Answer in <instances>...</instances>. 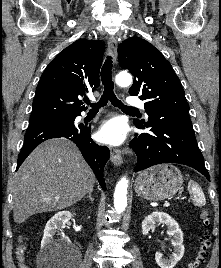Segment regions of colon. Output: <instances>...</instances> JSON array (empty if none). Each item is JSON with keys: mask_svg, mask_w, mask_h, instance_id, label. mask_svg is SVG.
<instances>
[{"mask_svg": "<svg viewBox=\"0 0 221 268\" xmlns=\"http://www.w3.org/2000/svg\"><path fill=\"white\" fill-rule=\"evenodd\" d=\"M201 221H202V225L205 228L209 227L210 214L207 210H204L201 213ZM210 246H211V236H210V233L208 231H205V233L201 239L197 255H196L195 259L189 264L188 268H200L201 265L204 263L207 255H208ZM18 258L20 261V267L23 268L25 266V264L23 262L24 259H23V246L22 245H20L18 247Z\"/></svg>", "mask_w": 221, "mask_h": 268, "instance_id": "5ec220e1", "label": "colon"}]
</instances>
